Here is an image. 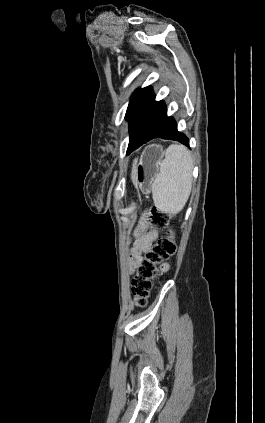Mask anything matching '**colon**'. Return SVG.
Here are the masks:
<instances>
[{"mask_svg": "<svg viewBox=\"0 0 265 423\" xmlns=\"http://www.w3.org/2000/svg\"><path fill=\"white\" fill-rule=\"evenodd\" d=\"M168 222L167 213L153 208L144 214L142 224L136 234L137 236L142 235L149 226L165 228ZM176 250L177 245L171 231L167 236L161 237L147 248L131 282V291L138 306H146L158 265L173 256Z\"/></svg>", "mask_w": 265, "mask_h": 423, "instance_id": "obj_1", "label": "colon"}]
</instances>
